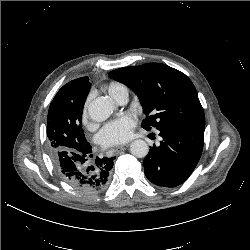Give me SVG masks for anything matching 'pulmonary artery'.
<instances>
[{
  "instance_id": "pulmonary-artery-1",
  "label": "pulmonary artery",
  "mask_w": 250,
  "mask_h": 250,
  "mask_svg": "<svg viewBox=\"0 0 250 250\" xmlns=\"http://www.w3.org/2000/svg\"><path fill=\"white\" fill-rule=\"evenodd\" d=\"M127 100H128V94L124 93L121 96H119V98L117 99V102L119 104H125L127 102Z\"/></svg>"
}]
</instances>
